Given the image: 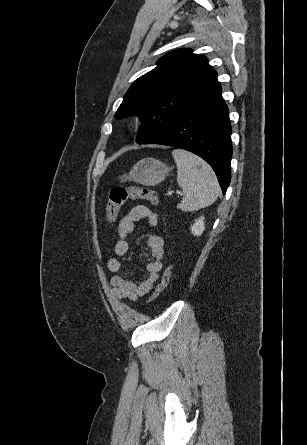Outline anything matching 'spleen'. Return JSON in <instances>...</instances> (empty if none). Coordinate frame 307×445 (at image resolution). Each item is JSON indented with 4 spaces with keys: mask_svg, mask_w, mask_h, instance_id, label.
<instances>
[{
    "mask_svg": "<svg viewBox=\"0 0 307 445\" xmlns=\"http://www.w3.org/2000/svg\"><path fill=\"white\" fill-rule=\"evenodd\" d=\"M177 164V182L182 188L181 210H199L215 202L220 186L217 176L200 156L175 148L172 152Z\"/></svg>",
    "mask_w": 307,
    "mask_h": 445,
    "instance_id": "obj_1",
    "label": "spleen"
}]
</instances>
